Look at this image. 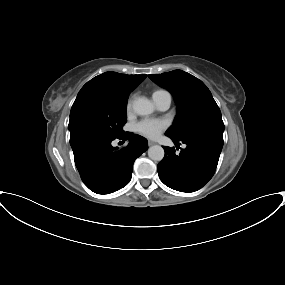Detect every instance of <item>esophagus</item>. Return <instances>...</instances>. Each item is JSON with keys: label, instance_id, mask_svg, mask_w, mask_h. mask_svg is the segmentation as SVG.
Returning a JSON list of instances; mask_svg holds the SVG:
<instances>
[{"label": "esophagus", "instance_id": "obj_1", "mask_svg": "<svg viewBox=\"0 0 285 285\" xmlns=\"http://www.w3.org/2000/svg\"><path fill=\"white\" fill-rule=\"evenodd\" d=\"M156 143L154 142V141H152V140H148V145L149 146H152V145H155Z\"/></svg>", "mask_w": 285, "mask_h": 285}]
</instances>
